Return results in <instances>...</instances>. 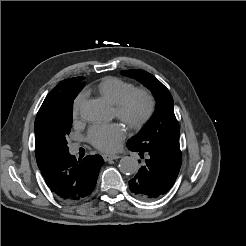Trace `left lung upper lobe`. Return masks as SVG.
Returning a JSON list of instances; mask_svg holds the SVG:
<instances>
[{
	"instance_id": "obj_1",
	"label": "left lung upper lobe",
	"mask_w": 246,
	"mask_h": 246,
	"mask_svg": "<svg viewBox=\"0 0 246 246\" xmlns=\"http://www.w3.org/2000/svg\"><path fill=\"white\" fill-rule=\"evenodd\" d=\"M121 74L141 82L152 91L156 99L154 114L140 132L128 140L127 146L142 152L155 149L181 158L179 124L174 114L173 98L169 90L146 71L124 70Z\"/></svg>"
}]
</instances>
